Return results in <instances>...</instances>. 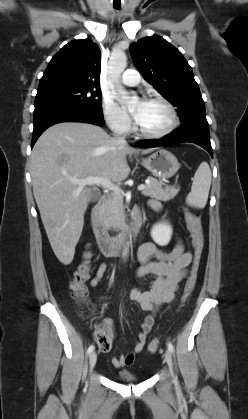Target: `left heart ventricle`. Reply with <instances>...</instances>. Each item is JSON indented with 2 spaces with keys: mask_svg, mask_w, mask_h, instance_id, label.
<instances>
[{
  "mask_svg": "<svg viewBox=\"0 0 248 419\" xmlns=\"http://www.w3.org/2000/svg\"><path fill=\"white\" fill-rule=\"evenodd\" d=\"M139 111L136 119L140 128L147 132H158L163 130L170 122V115L164 105L158 102L145 101L137 103L133 112Z\"/></svg>",
  "mask_w": 248,
  "mask_h": 419,
  "instance_id": "left-heart-ventricle-1",
  "label": "left heart ventricle"
}]
</instances>
